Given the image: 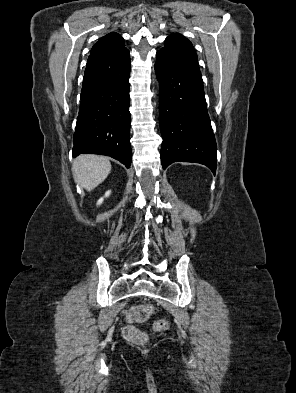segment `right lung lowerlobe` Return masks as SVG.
<instances>
[{"label": "right lung lower lobe", "instance_id": "1", "mask_svg": "<svg viewBox=\"0 0 296 393\" xmlns=\"http://www.w3.org/2000/svg\"><path fill=\"white\" fill-rule=\"evenodd\" d=\"M129 76L127 49L89 56L73 137V157L107 155L130 167Z\"/></svg>", "mask_w": 296, "mask_h": 393}]
</instances>
